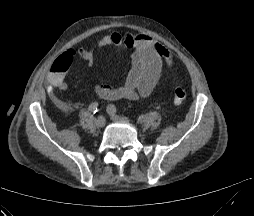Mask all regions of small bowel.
Returning <instances> with one entry per match:
<instances>
[{
	"label": "small bowel",
	"mask_w": 254,
	"mask_h": 216,
	"mask_svg": "<svg viewBox=\"0 0 254 216\" xmlns=\"http://www.w3.org/2000/svg\"><path fill=\"white\" fill-rule=\"evenodd\" d=\"M109 46L131 50V68L124 83L118 87L109 86L102 80L99 81L94 92L104 100L114 101L124 98L139 100L148 97L164 79L163 63H170L172 60L170 51L149 36L118 32L104 35L94 48L69 49L62 54L60 60L69 66L77 57L87 62L89 70H93L96 64L94 51ZM65 75L66 71H51L48 75L51 98L54 100H57V97L53 89L65 91L68 88Z\"/></svg>",
	"instance_id": "1"
}]
</instances>
